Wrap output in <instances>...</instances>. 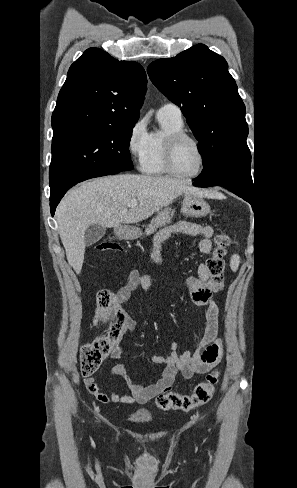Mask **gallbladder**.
Returning a JSON list of instances; mask_svg holds the SVG:
<instances>
[{"mask_svg": "<svg viewBox=\"0 0 297 488\" xmlns=\"http://www.w3.org/2000/svg\"><path fill=\"white\" fill-rule=\"evenodd\" d=\"M105 232H106V228L99 224H94L89 226L85 230V235H84L85 244L92 245L97 243L105 235Z\"/></svg>", "mask_w": 297, "mask_h": 488, "instance_id": "bac80fb5", "label": "gallbladder"}]
</instances>
